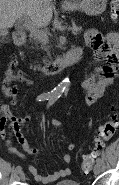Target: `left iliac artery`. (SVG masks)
<instances>
[{"label":"left iliac artery","instance_id":"obj_1","mask_svg":"<svg viewBox=\"0 0 119 185\" xmlns=\"http://www.w3.org/2000/svg\"><path fill=\"white\" fill-rule=\"evenodd\" d=\"M57 98H53V99L49 100V103H48L47 106L50 107L52 104H54V102L57 100ZM97 163L102 164V159L101 158H97Z\"/></svg>","mask_w":119,"mask_h":185}]
</instances>
